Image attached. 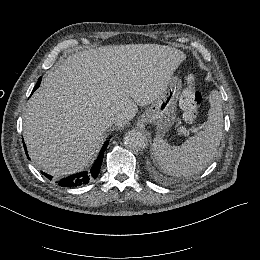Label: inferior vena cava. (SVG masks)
<instances>
[{"instance_id":"1","label":"inferior vena cava","mask_w":260,"mask_h":260,"mask_svg":"<svg viewBox=\"0 0 260 260\" xmlns=\"http://www.w3.org/2000/svg\"><path fill=\"white\" fill-rule=\"evenodd\" d=\"M116 122V118L112 116L109 120H107V126L110 127Z\"/></svg>"}]
</instances>
